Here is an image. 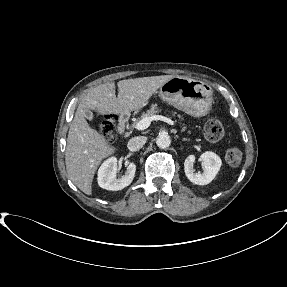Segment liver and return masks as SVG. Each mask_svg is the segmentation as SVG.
Masks as SVG:
<instances>
[{"instance_id":"obj_1","label":"liver","mask_w":287,"mask_h":287,"mask_svg":"<svg viewBox=\"0 0 287 287\" xmlns=\"http://www.w3.org/2000/svg\"><path fill=\"white\" fill-rule=\"evenodd\" d=\"M173 75L151 76L108 82L93 88L80 102L70 125L65 150L66 170L70 180L85 194H92L94 174L101 161L115 148L86 121L85 111L101 115L122 114L143 108L151 96Z\"/></svg>"}]
</instances>
